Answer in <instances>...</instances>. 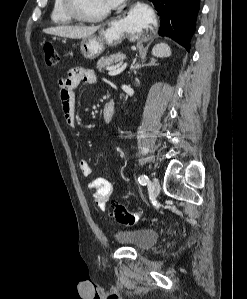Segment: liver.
I'll return each instance as SVG.
<instances>
[{
    "label": "liver",
    "instance_id": "1",
    "mask_svg": "<svg viewBox=\"0 0 247 299\" xmlns=\"http://www.w3.org/2000/svg\"><path fill=\"white\" fill-rule=\"evenodd\" d=\"M100 26H56L43 30L44 33L71 39L87 38L93 35Z\"/></svg>",
    "mask_w": 247,
    "mask_h": 299
}]
</instances>
